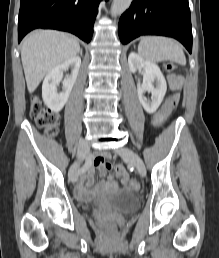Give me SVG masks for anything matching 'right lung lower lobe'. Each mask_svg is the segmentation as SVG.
Instances as JSON below:
<instances>
[{"mask_svg":"<svg viewBox=\"0 0 219 258\" xmlns=\"http://www.w3.org/2000/svg\"><path fill=\"white\" fill-rule=\"evenodd\" d=\"M101 0H21L18 42L36 28L57 29L89 43Z\"/></svg>","mask_w":219,"mask_h":258,"instance_id":"obj_1","label":"right lung lower lobe"}]
</instances>
